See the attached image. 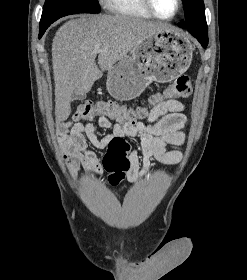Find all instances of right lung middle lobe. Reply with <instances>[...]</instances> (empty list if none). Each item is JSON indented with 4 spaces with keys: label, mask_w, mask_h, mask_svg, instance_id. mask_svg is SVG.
Segmentation results:
<instances>
[{
    "label": "right lung middle lobe",
    "mask_w": 247,
    "mask_h": 280,
    "mask_svg": "<svg viewBox=\"0 0 247 280\" xmlns=\"http://www.w3.org/2000/svg\"><path fill=\"white\" fill-rule=\"evenodd\" d=\"M97 0H46L40 27H49L57 19L75 13H99Z\"/></svg>",
    "instance_id": "dd1d6c3e"
}]
</instances>
